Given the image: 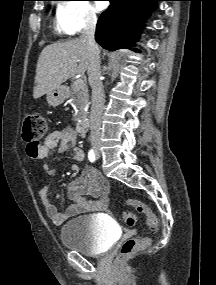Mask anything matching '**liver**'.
I'll return each instance as SVG.
<instances>
[{
    "label": "liver",
    "mask_w": 216,
    "mask_h": 285,
    "mask_svg": "<svg viewBox=\"0 0 216 285\" xmlns=\"http://www.w3.org/2000/svg\"><path fill=\"white\" fill-rule=\"evenodd\" d=\"M89 66V51L80 38L46 46L37 62L33 98L38 99L61 86Z\"/></svg>",
    "instance_id": "obj_1"
}]
</instances>
